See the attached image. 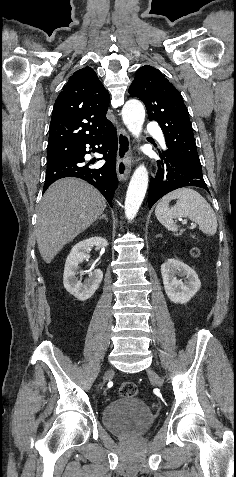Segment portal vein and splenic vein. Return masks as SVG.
I'll return each mask as SVG.
<instances>
[{"mask_svg":"<svg viewBox=\"0 0 236 477\" xmlns=\"http://www.w3.org/2000/svg\"><path fill=\"white\" fill-rule=\"evenodd\" d=\"M182 224H185L187 221L186 220H181Z\"/></svg>","mask_w":236,"mask_h":477,"instance_id":"18ae733b","label":"portal vein and splenic vein"}]
</instances>
